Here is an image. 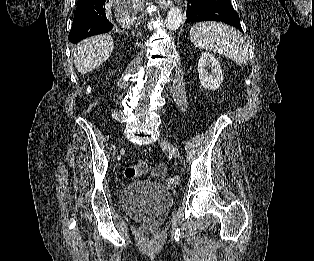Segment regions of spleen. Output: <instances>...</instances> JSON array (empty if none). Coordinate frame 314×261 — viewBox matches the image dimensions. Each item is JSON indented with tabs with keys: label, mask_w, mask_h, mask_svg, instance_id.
<instances>
[{
	"label": "spleen",
	"mask_w": 314,
	"mask_h": 261,
	"mask_svg": "<svg viewBox=\"0 0 314 261\" xmlns=\"http://www.w3.org/2000/svg\"><path fill=\"white\" fill-rule=\"evenodd\" d=\"M190 40L195 47L217 52L239 65L248 62L249 51L243 36L224 23H196L190 29Z\"/></svg>",
	"instance_id": "spleen-1"
}]
</instances>
